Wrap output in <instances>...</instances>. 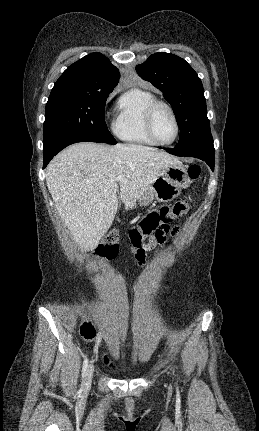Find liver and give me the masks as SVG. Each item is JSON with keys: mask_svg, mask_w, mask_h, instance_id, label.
Returning a JSON list of instances; mask_svg holds the SVG:
<instances>
[{"mask_svg": "<svg viewBox=\"0 0 259 431\" xmlns=\"http://www.w3.org/2000/svg\"><path fill=\"white\" fill-rule=\"evenodd\" d=\"M181 163L154 148L77 143L60 152L47 167L46 184L57 212L82 251L96 248L110 228L120 198L127 206L140 199L164 170ZM122 176L121 181H114Z\"/></svg>", "mask_w": 259, "mask_h": 431, "instance_id": "6515ba94", "label": "liver"}]
</instances>
